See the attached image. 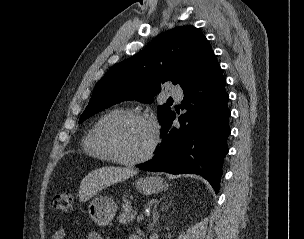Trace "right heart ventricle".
I'll return each instance as SVG.
<instances>
[{
  "instance_id": "right-heart-ventricle-1",
  "label": "right heart ventricle",
  "mask_w": 304,
  "mask_h": 239,
  "mask_svg": "<svg viewBox=\"0 0 304 239\" xmlns=\"http://www.w3.org/2000/svg\"><path fill=\"white\" fill-rule=\"evenodd\" d=\"M125 110L122 108H114L105 113H103L92 125V127L88 130L82 140V148L86 154L89 156L106 160L113 161L110 154L103 147L100 141V131L104 124L114 117L115 115L124 112Z\"/></svg>"
}]
</instances>
